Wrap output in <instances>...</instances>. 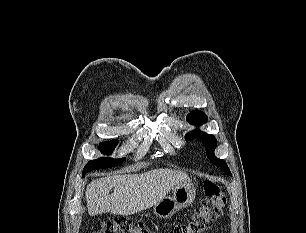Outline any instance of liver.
<instances>
[{"instance_id": "obj_1", "label": "liver", "mask_w": 306, "mask_h": 233, "mask_svg": "<svg viewBox=\"0 0 306 233\" xmlns=\"http://www.w3.org/2000/svg\"><path fill=\"white\" fill-rule=\"evenodd\" d=\"M188 181L190 178L186 173L171 169L99 178L93 180L85 191L88 214H135L161 201L176 184ZM112 188L114 192L109 195Z\"/></svg>"}]
</instances>
